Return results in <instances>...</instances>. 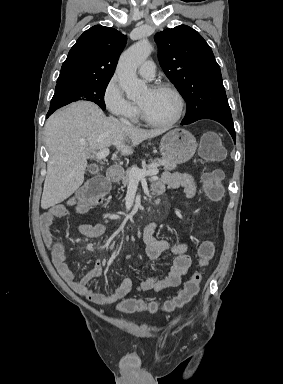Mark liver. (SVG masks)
I'll return each instance as SVG.
<instances>
[{
    "label": "liver",
    "mask_w": 283,
    "mask_h": 384,
    "mask_svg": "<svg viewBox=\"0 0 283 384\" xmlns=\"http://www.w3.org/2000/svg\"><path fill=\"white\" fill-rule=\"evenodd\" d=\"M166 130H141L106 118L93 102H73L57 110L45 124V142L49 152L47 176L41 208L47 210L72 196L84 182L87 156L95 150L116 146L121 156H130L134 148ZM131 140V146L125 144Z\"/></svg>",
    "instance_id": "1"
}]
</instances>
